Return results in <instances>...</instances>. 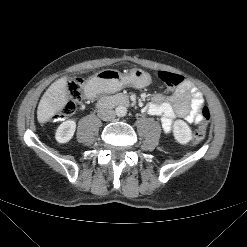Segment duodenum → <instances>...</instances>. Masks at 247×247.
Instances as JSON below:
<instances>
[{
    "instance_id": "410a0bca",
    "label": "duodenum",
    "mask_w": 247,
    "mask_h": 247,
    "mask_svg": "<svg viewBox=\"0 0 247 247\" xmlns=\"http://www.w3.org/2000/svg\"><path fill=\"white\" fill-rule=\"evenodd\" d=\"M100 108H112L118 106H129L130 101L126 95L116 94L111 96H104L97 101Z\"/></svg>"
}]
</instances>
